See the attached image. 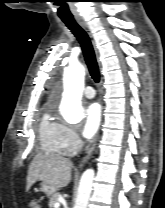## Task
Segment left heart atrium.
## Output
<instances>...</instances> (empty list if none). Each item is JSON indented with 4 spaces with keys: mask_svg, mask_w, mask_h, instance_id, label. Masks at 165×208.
I'll return each instance as SVG.
<instances>
[{
    "mask_svg": "<svg viewBox=\"0 0 165 208\" xmlns=\"http://www.w3.org/2000/svg\"><path fill=\"white\" fill-rule=\"evenodd\" d=\"M101 121V108L98 103H91L84 110V121L82 125V134L86 138L95 135Z\"/></svg>",
    "mask_w": 165,
    "mask_h": 208,
    "instance_id": "1",
    "label": "left heart atrium"
}]
</instances>
